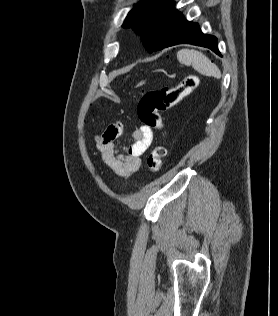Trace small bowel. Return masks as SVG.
Returning <instances> with one entry per match:
<instances>
[{
	"instance_id": "small-bowel-1",
	"label": "small bowel",
	"mask_w": 278,
	"mask_h": 316,
	"mask_svg": "<svg viewBox=\"0 0 278 316\" xmlns=\"http://www.w3.org/2000/svg\"><path fill=\"white\" fill-rule=\"evenodd\" d=\"M122 133L123 124L120 121L109 124L96 138V147L104 164L116 176L127 179L140 169L141 156L152 144L153 131L146 125H141L133 131L132 143L128 146H121L118 143Z\"/></svg>"
}]
</instances>
